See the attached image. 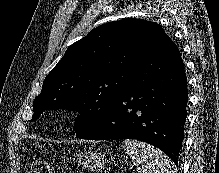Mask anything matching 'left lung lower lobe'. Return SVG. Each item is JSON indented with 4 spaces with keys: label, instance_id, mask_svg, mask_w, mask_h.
<instances>
[{
    "label": "left lung lower lobe",
    "instance_id": "left-lung-lower-lobe-1",
    "mask_svg": "<svg viewBox=\"0 0 219 173\" xmlns=\"http://www.w3.org/2000/svg\"><path fill=\"white\" fill-rule=\"evenodd\" d=\"M133 88L112 108L90 140L137 139L178 165L187 117V79L175 43L167 39L135 70Z\"/></svg>",
    "mask_w": 219,
    "mask_h": 173
}]
</instances>
